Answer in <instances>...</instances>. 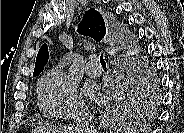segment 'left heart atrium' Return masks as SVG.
I'll use <instances>...</instances> for the list:
<instances>
[{"label": "left heart atrium", "instance_id": "left-heart-atrium-1", "mask_svg": "<svg viewBox=\"0 0 184 133\" xmlns=\"http://www.w3.org/2000/svg\"><path fill=\"white\" fill-rule=\"evenodd\" d=\"M84 94L90 99H96L99 96L97 87L92 83H88L85 85Z\"/></svg>", "mask_w": 184, "mask_h": 133}]
</instances>
